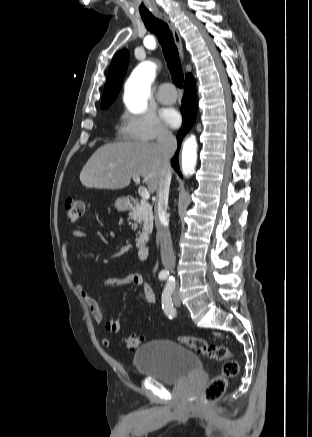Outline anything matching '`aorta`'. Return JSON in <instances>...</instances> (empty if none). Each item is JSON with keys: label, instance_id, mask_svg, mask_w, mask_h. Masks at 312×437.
I'll list each match as a JSON object with an SVG mask.
<instances>
[{"label": "aorta", "instance_id": "aorta-1", "mask_svg": "<svg viewBox=\"0 0 312 437\" xmlns=\"http://www.w3.org/2000/svg\"><path fill=\"white\" fill-rule=\"evenodd\" d=\"M156 66L146 61L140 63L132 72L125 86L124 101L132 113H140L147 107L151 84L155 79ZM197 163V142L195 136L188 138L182 148L181 169L184 176L195 172Z\"/></svg>", "mask_w": 312, "mask_h": 437}]
</instances>
